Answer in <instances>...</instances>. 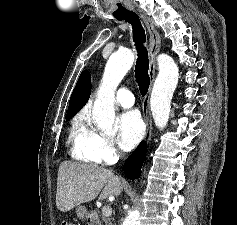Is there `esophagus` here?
<instances>
[{"label": "esophagus", "instance_id": "obj_1", "mask_svg": "<svg viewBox=\"0 0 237 225\" xmlns=\"http://www.w3.org/2000/svg\"><path fill=\"white\" fill-rule=\"evenodd\" d=\"M140 17L142 18L143 22L145 23V26L147 28V31L149 33V77H150V86L148 89V93L143 99L142 102V113L143 118L146 124V130L144 134V142L149 143L151 139V133H152V121L150 118V94L153 87V83L155 80L156 75V56L160 50L161 46V38L156 30L154 23L151 19L145 17L144 15L140 14Z\"/></svg>", "mask_w": 237, "mask_h": 225}]
</instances>
